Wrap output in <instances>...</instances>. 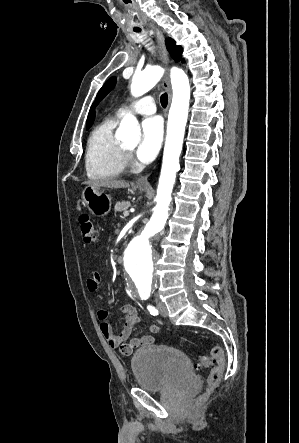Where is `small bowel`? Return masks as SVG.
I'll return each mask as SVG.
<instances>
[{
  "label": "small bowel",
  "mask_w": 299,
  "mask_h": 443,
  "mask_svg": "<svg viewBox=\"0 0 299 443\" xmlns=\"http://www.w3.org/2000/svg\"><path fill=\"white\" fill-rule=\"evenodd\" d=\"M101 281L100 273L93 272L87 280L86 286L89 292H96ZM118 314L123 316V322L119 332H115L111 324L108 322L109 313L105 309L97 312V317L101 321V331L111 347L120 348L124 354H129L133 349L145 348L152 346L157 338L154 335H143L140 337H132L133 327L139 321V315L136 308L131 304H125L119 308ZM151 333L155 334L160 331L158 324L149 325ZM126 343V341H128Z\"/></svg>",
  "instance_id": "1"
}]
</instances>
